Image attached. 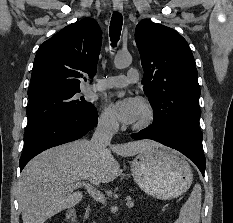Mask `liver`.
<instances>
[{
	"instance_id": "obj_1",
	"label": "liver",
	"mask_w": 233,
	"mask_h": 223,
	"mask_svg": "<svg viewBox=\"0 0 233 223\" xmlns=\"http://www.w3.org/2000/svg\"><path fill=\"white\" fill-rule=\"evenodd\" d=\"M160 145L152 139H139L117 145H105L93 151L89 139H77L42 151L25 165L17 193L23 223H45L62 209L80 203L83 191H70L72 183L87 179L92 185L114 181L123 169L113 153L129 157Z\"/></svg>"
}]
</instances>
